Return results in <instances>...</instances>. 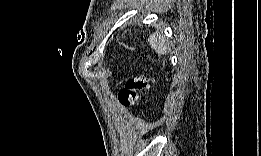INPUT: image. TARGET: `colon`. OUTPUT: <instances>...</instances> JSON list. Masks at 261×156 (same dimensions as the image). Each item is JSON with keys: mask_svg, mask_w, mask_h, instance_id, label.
<instances>
[{"mask_svg": "<svg viewBox=\"0 0 261 156\" xmlns=\"http://www.w3.org/2000/svg\"><path fill=\"white\" fill-rule=\"evenodd\" d=\"M154 81L155 75L153 72L128 78L119 91V102L126 107L136 106L139 102L140 95L146 92Z\"/></svg>", "mask_w": 261, "mask_h": 156, "instance_id": "obj_1", "label": "colon"}]
</instances>
